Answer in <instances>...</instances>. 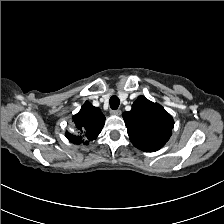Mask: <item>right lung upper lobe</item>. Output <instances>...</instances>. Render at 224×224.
I'll return each mask as SVG.
<instances>
[{
    "label": "right lung upper lobe",
    "instance_id": "1",
    "mask_svg": "<svg viewBox=\"0 0 224 224\" xmlns=\"http://www.w3.org/2000/svg\"><path fill=\"white\" fill-rule=\"evenodd\" d=\"M72 119L78 132L77 134L66 132V137L74 144H88L89 141L96 139L105 123L103 113L89 101L83 104Z\"/></svg>",
    "mask_w": 224,
    "mask_h": 224
}]
</instances>
